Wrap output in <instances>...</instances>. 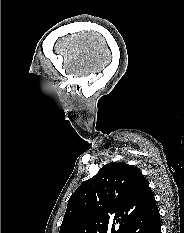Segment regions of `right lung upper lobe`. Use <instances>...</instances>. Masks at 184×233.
I'll return each mask as SVG.
<instances>
[{"instance_id":"right-lung-upper-lobe-1","label":"right lung upper lobe","mask_w":184,"mask_h":233,"mask_svg":"<svg viewBox=\"0 0 184 233\" xmlns=\"http://www.w3.org/2000/svg\"><path fill=\"white\" fill-rule=\"evenodd\" d=\"M155 203L137 168L111 162L71 195L59 233H124Z\"/></svg>"}]
</instances>
